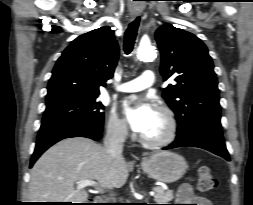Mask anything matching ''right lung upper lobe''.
Masks as SVG:
<instances>
[{
  "label": "right lung upper lobe",
  "instance_id": "obj_1",
  "mask_svg": "<svg viewBox=\"0 0 253 205\" xmlns=\"http://www.w3.org/2000/svg\"><path fill=\"white\" fill-rule=\"evenodd\" d=\"M118 56V43L110 27L79 36L57 60L46 101L73 95H99V86H105L113 76Z\"/></svg>",
  "mask_w": 253,
  "mask_h": 205
}]
</instances>
